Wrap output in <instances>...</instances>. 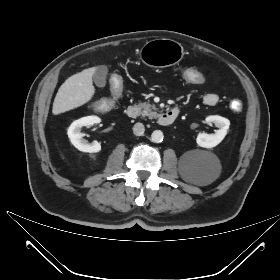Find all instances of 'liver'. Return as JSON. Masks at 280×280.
I'll return each instance as SVG.
<instances>
[{
    "mask_svg": "<svg viewBox=\"0 0 280 280\" xmlns=\"http://www.w3.org/2000/svg\"><path fill=\"white\" fill-rule=\"evenodd\" d=\"M96 67L85 69L69 77L59 88L52 113L58 115L89 102L95 94L92 77Z\"/></svg>",
    "mask_w": 280,
    "mask_h": 280,
    "instance_id": "obj_1",
    "label": "liver"
}]
</instances>
